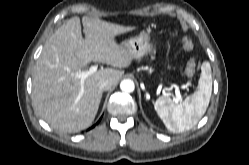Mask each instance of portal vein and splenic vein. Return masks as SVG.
Returning <instances> with one entry per match:
<instances>
[{"instance_id":"18ae733b","label":"portal vein and splenic vein","mask_w":249,"mask_h":165,"mask_svg":"<svg viewBox=\"0 0 249 165\" xmlns=\"http://www.w3.org/2000/svg\"><path fill=\"white\" fill-rule=\"evenodd\" d=\"M98 66L97 65H93L90 67V69L88 71H79L75 74V76L77 78H79L81 80V82L83 83L84 80L92 75L93 73L97 72ZM182 99L181 94H180V90L179 87H175V97H174V101L176 103H178L180 100Z\"/></svg>"}]
</instances>
